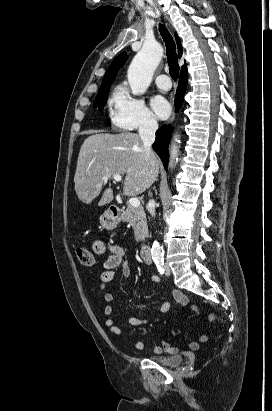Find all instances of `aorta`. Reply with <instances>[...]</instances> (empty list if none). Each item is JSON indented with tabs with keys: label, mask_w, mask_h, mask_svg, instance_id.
Masks as SVG:
<instances>
[{
	"label": "aorta",
	"mask_w": 272,
	"mask_h": 411,
	"mask_svg": "<svg viewBox=\"0 0 272 411\" xmlns=\"http://www.w3.org/2000/svg\"><path fill=\"white\" fill-rule=\"evenodd\" d=\"M162 56L163 49L159 44L144 45L135 55L127 72L128 82L133 94L140 95L146 92ZM178 150L177 144L173 143L170 151V166L177 162ZM151 255L154 261L163 260V248L158 241L153 242Z\"/></svg>",
	"instance_id": "762f6f07"
}]
</instances>
